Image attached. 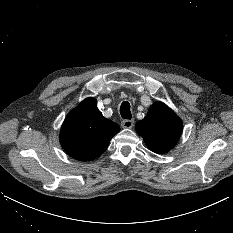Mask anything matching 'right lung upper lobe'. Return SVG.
I'll return each mask as SVG.
<instances>
[{
	"label": "right lung upper lobe",
	"instance_id": "cb5924a9",
	"mask_svg": "<svg viewBox=\"0 0 233 233\" xmlns=\"http://www.w3.org/2000/svg\"><path fill=\"white\" fill-rule=\"evenodd\" d=\"M120 127L103 117L94 98L85 99L73 109L61 127L60 142L74 159L91 161L108 147Z\"/></svg>",
	"mask_w": 233,
	"mask_h": 233
}]
</instances>
